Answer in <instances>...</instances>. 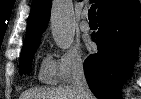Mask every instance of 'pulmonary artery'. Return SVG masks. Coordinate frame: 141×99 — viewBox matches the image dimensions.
<instances>
[{
  "label": "pulmonary artery",
  "mask_w": 141,
  "mask_h": 99,
  "mask_svg": "<svg viewBox=\"0 0 141 99\" xmlns=\"http://www.w3.org/2000/svg\"><path fill=\"white\" fill-rule=\"evenodd\" d=\"M88 12L87 11H83L82 13V21L80 22V29L83 32H88L90 30V25L88 22Z\"/></svg>",
  "instance_id": "pulmonary-artery-1"
}]
</instances>
